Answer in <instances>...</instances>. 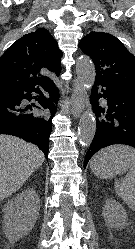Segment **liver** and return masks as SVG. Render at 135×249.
I'll return each instance as SVG.
<instances>
[{"instance_id": "obj_1", "label": "liver", "mask_w": 135, "mask_h": 249, "mask_svg": "<svg viewBox=\"0 0 135 249\" xmlns=\"http://www.w3.org/2000/svg\"><path fill=\"white\" fill-rule=\"evenodd\" d=\"M34 144L10 135H0V201L15 193L44 162Z\"/></svg>"}]
</instances>
